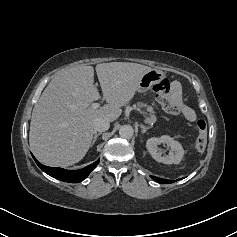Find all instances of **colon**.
<instances>
[{
  "label": "colon",
  "mask_w": 237,
  "mask_h": 237,
  "mask_svg": "<svg viewBox=\"0 0 237 237\" xmlns=\"http://www.w3.org/2000/svg\"><path fill=\"white\" fill-rule=\"evenodd\" d=\"M153 89L161 102L163 109L167 113L178 115L183 111L182 104L173 98L171 86L166 79H162ZM196 127L198 136L195 142V149L198 152H202L207 145V124L204 120H199Z\"/></svg>",
  "instance_id": "5ec220e1"
}]
</instances>
